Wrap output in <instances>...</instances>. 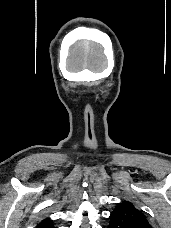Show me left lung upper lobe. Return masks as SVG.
Returning <instances> with one entry per match:
<instances>
[{
	"label": "left lung upper lobe",
	"mask_w": 171,
	"mask_h": 228,
	"mask_svg": "<svg viewBox=\"0 0 171 228\" xmlns=\"http://www.w3.org/2000/svg\"><path fill=\"white\" fill-rule=\"evenodd\" d=\"M110 223L114 228H121L127 224L149 225L145 214L137 209L131 202H120L110 215Z\"/></svg>",
	"instance_id": "5c2ea615"
}]
</instances>
